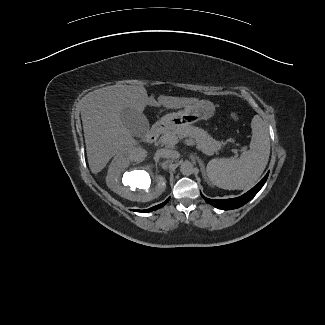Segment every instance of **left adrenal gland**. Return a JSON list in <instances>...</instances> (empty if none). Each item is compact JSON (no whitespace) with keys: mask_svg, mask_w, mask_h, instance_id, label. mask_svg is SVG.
<instances>
[{"mask_svg":"<svg viewBox=\"0 0 325 325\" xmlns=\"http://www.w3.org/2000/svg\"><path fill=\"white\" fill-rule=\"evenodd\" d=\"M196 159H197V161H198V163H199V166H200V169H201V172H202V176H203V178H204L205 181L209 184V181H208V179H207V177H206L205 166H204L203 161H202L199 157H197Z\"/></svg>","mask_w":325,"mask_h":325,"instance_id":"obj_1","label":"left adrenal gland"}]
</instances>
